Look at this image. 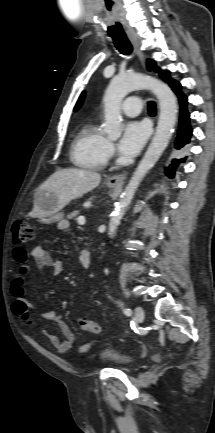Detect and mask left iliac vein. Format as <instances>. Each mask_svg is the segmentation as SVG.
Here are the masks:
<instances>
[{
    "instance_id": "left-iliac-vein-1",
    "label": "left iliac vein",
    "mask_w": 215,
    "mask_h": 433,
    "mask_svg": "<svg viewBox=\"0 0 215 433\" xmlns=\"http://www.w3.org/2000/svg\"><path fill=\"white\" fill-rule=\"evenodd\" d=\"M135 316L138 322H142L144 320V310L141 306H136L135 308Z\"/></svg>"
}]
</instances>
